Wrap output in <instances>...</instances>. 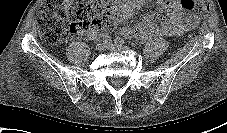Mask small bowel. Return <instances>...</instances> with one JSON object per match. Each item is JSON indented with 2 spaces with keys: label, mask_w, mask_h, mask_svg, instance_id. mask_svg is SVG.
I'll return each instance as SVG.
<instances>
[{
  "label": "small bowel",
  "mask_w": 227,
  "mask_h": 133,
  "mask_svg": "<svg viewBox=\"0 0 227 133\" xmlns=\"http://www.w3.org/2000/svg\"><path fill=\"white\" fill-rule=\"evenodd\" d=\"M145 0H123L117 21L131 19L136 11L143 5ZM162 7L161 17L164 22L161 26L152 24L148 19L139 22L135 27H124L122 35L127 38L145 40L153 36H177L193 29L198 19L195 15L185 14L180 8L178 0H158ZM102 35L99 30H91L85 33L88 39H97Z\"/></svg>",
  "instance_id": "1"
}]
</instances>
